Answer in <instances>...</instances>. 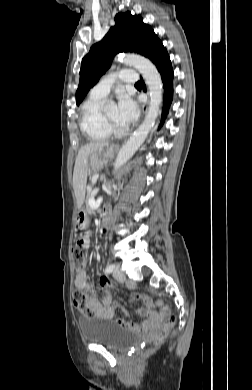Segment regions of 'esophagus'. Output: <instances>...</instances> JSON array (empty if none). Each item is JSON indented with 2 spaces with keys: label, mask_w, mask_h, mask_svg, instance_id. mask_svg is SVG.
<instances>
[{
  "label": "esophagus",
  "mask_w": 252,
  "mask_h": 390,
  "mask_svg": "<svg viewBox=\"0 0 252 390\" xmlns=\"http://www.w3.org/2000/svg\"><path fill=\"white\" fill-rule=\"evenodd\" d=\"M148 104H149V98L146 100V102L142 106V114L145 115L148 109Z\"/></svg>",
  "instance_id": "esophagus-1"
}]
</instances>
